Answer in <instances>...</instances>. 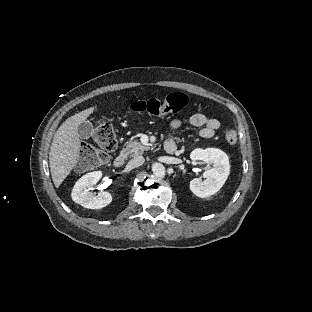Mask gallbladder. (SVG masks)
<instances>
[{
	"label": "gallbladder",
	"mask_w": 312,
	"mask_h": 312,
	"mask_svg": "<svg viewBox=\"0 0 312 312\" xmlns=\"http://www.w3.org/2000/svg\"><path fill=\"white\" fill-rule=\"evenodd\" d=\"M93 128L94 126L90 121L83 122L78 126V134L82 139H89Z\"/></svg>",
	"instance_id": "gallbladder-1"
}]
</instances>
